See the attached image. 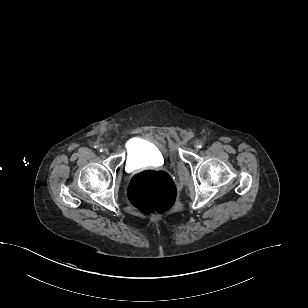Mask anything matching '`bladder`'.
<instances>
[{
    "label": "bladder",
    "mask_w": 308,
    "mask_h": 308,
    "mask_svg": "<svg viewBox=\"0 0 308 308\" xmlns=\"http://www.w3.org/2000/svg\"><path fill=\"white\" fill-rule=\"evenodd\" d=\"M165 154L161 144L146 139L136 138L128 146L127 164L133 167L156 165L164 162Z\"/></svg>",
    "instance_id": "1"
}]
</instances>
